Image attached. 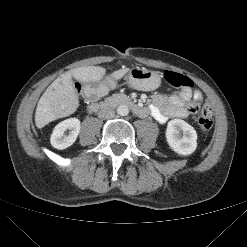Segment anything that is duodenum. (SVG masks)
Returning <instances> with one entry per match:
<instances>
[{
	"mask_svg": "<svg viewBox=\"0 0 247 247\" xmlns=\"http://www.w3.org/2000/svg\"><path fill=\"white\" fill-rule=\"evenodd\" d=\"M123 104L128 106L134 113L138 115H143L145 110L137 102L133 101L127 96H115L112 98L105 99L104 101L94 98L92 95L89 97L88 109L90 111H101L108 110L113 105Z\"/></svg>",
	"mask_w": 247,
	"mask_h": 247,
	"instance_id": "obj_1",
	"label": "duodenum"
}]
</instances>
